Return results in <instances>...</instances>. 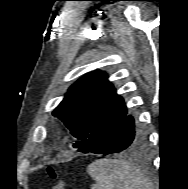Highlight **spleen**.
<instances>
[{
	"label": "spleen",
	"instance_id": "obj_1",
	"mask_svg": "<svg viewBox=\"0 0 188 189\" xmlns=\"http://www.w3.org/2000/svg\"><path fill=\"white\" fill-rule=\"evenodd\" d=\"M87 171L96 181L91 189H147L142 173L123 160H96Z\"/></svg>",
	"mask_w": 188,
	"mask_h": 189
}]
</instances>
